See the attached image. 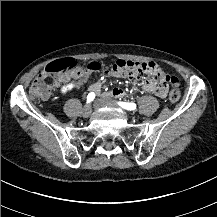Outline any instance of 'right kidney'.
Returning a JSON list of instances; mask_svg holds the SVG:
<instances>
[{"mask_svg":"<svg viewBox=\"0 0 217 217\" xmlns=\"http://www.w3.org/2000/svg\"><path fill=\"white\" fill-rule=\"evenodd\" d=\"M76 87V83L75 82H70V83H67V84H64L60 87L59 91L61 93H69L70 91L74 90Z\"/></svg>","mask_w":217,"mask_h":217,"instance_id":"1","label":"right kidney"}]
</instances>
